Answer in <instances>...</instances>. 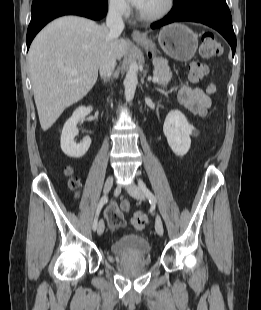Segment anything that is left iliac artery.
I'll return each instance as SVG.
<instances>
[{"label":"left iliac artery","instance_id":"1","mask_svg":"<svg viewBox=\"0 0 261 310\" xmlns=\"http://www.w3.org/2000/svg\"><path fill=\"white\" fill-rule=\"evenodd\" d=\"M138 185H139V188L142 190V192L145 194V196L148 198V200L151 202V203H155L157 200L155 198V196L152 194V192L147 188V186L145 185V183L139 179L138 180Z\"/></svg>","mask_w":261,"mask_h":310}]
</instances>
